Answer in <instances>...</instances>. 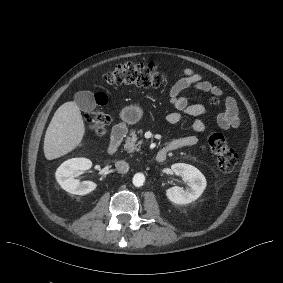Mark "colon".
Wrapping results in <instances>:
<instances>
[{
    "label": "colon",
    "instance_id": "1",
    "mask_svg": "<svg viewBox=\"0 0 283 283\" xmlns=\"http://www.w3.org/2000/svg\"><path fill=\"white\" fill-rule=\"evenodd\" d=\"M105 82L109 85H128L136 87H160L167 82L166 76L153 65L124 63L107 72ZM216 103V100H212ZM87 122L97 135H104L110 117L102 110H94L87 116ZM207 143L217 159L220 170L232 172L237 163L238 155L228 145L227 139L221 133L212 132L207 136Z\"/></svg>",
    "mask_w": 283,
    "mask_h": 283
}]
</instances>
